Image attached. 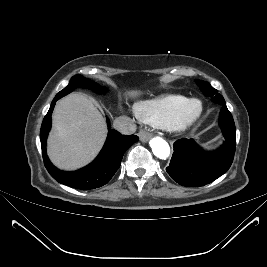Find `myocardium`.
<instances>
[{
    "mask_svg": "<svg viewBox=\"0 0 267 267\" xmlns=\"http://www.w3.org/2000/svg\"><path fill=\"white\" fill-rule=\"evenodd\" d=\"M198 103L199 108L196 113L189 115L187 113L191 104ZM204 104L198 98L188 99L163 125V128L172 133H180L193 125L203 114Z\"/></svg>",
    "mask_w": 267,
    "mask_h": 267,
    "instance_id": "myocardium-1",
    "label": "myocardium"
}]
</instances>
